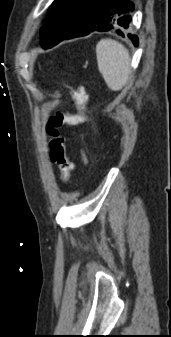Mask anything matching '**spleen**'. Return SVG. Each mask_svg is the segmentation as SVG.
Here are the masks:
<instances>
[{
	"instance_id": "1",
	"label": "spleen",
	"mask_w": 171,
	"mask_h": 337,
	"mask_svg": "<svg viewBox=\"0 0 171 337\" xmlns=\"http://www.w3.org/2000/svg\"><path fill=\"white\" fill-rule=\"evenodd\" d=\"M97 63L107 86L119 91L131 73L129 50L118 41L102 39L96 45Z\"/></svg>"
}]
</instances>
